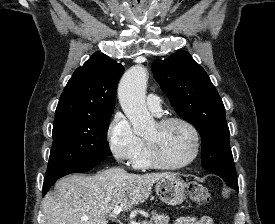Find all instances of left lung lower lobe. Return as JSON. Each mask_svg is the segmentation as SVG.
Returning <instances> with one entry per match:
<instances>
[{"label": "left lung lower lobe", "instance_id": "left-lung-lower-lobe-1", "mask_svg": "<svg viewBox=\"0 0 275 224\" xmlns=\"http://www.w3.org/2000/svg\"><path fill=\"white\" fill-rule=\"evenodd\" d=\"M226 183L231 186L232 188H234L235 190L238 191V183L236 180H234L233 178H228Z\"/></svg>", "mask_w": 275, "mask_h": 224}]
</instances>
